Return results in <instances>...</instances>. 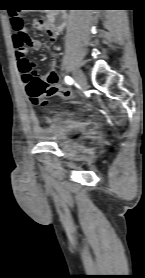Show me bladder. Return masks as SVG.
Returning a JSON list of instances; mask_svg holds the SVG:
<instances>
[{"label": "bladder", "mask_w": 145, "mask_h": 278, "mask_svg": "<svg viewBox=\"0 0 145 278\" xmlns=\"http://www.w3.org/2000/svg\"><path fill=\"white\" fill-rule=\"evenodd\" d=\"M55 121L49 125V132L43 139L52 142L65 141L73 131L74 126L83 123V113L76 108H57L53 112Z\"/></svg>", "instance_id": "1"}]
</instances>
